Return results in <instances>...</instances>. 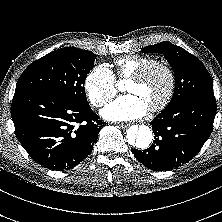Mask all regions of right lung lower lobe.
<instances>
[{
  "label": "right lung lower lobe",
  "mask_w": 222,
  "mask_h": 222,
  "mask_svg": "<svg viewBox=\"0 0 222 222\" xmlns=\"http://www.w3.org/2000/svg\"><path fill=\"white\" fill-rule=\"evenodd\" d=\"M11 116L16 136L29 156L58 171L79 164L107 124L89 104L42 91L15 92Z\"/></svg>",
  "instance_id": "1"
}]
</instances>
